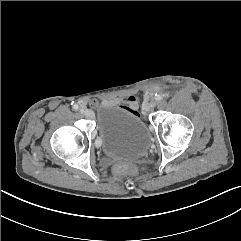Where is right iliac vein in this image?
I'll use <instances>...</instances> for the list:
<instances>
[{
    "label": "right iliac vein",
    "mask_w": 241,
    "mask_h": 241,
    "mask_svg": "<svg viewBox=\"0 0 241 241\" xmlns=\"http://www.w3.org/2000/svg\"><path fill=\"white\" fill-rule=\"evenodd\" d=\"M80 113L84 114L86 117L90 116V111L89 110L80 109Z\"/></svg>",
    "instance_id": "63e3f726"
}]
</instances>
